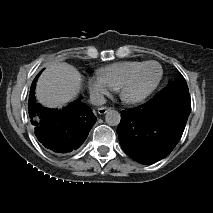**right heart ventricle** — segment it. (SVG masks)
Segmentation results:
<instances>
[{"label": "right heart ventricle", "mask_w": 213, "mask_h": 213, "mask_svg": "<svg viewBox=\"0 0 213 213\" xmlns=\"http://www.w3.org/2000/svg\"><path fill=\"white\" fill-rule=\"evenodd\" d=\"M141 63V61L115 62L100 68L98 75L108 83L112 90H118L121 82Z\"/></svg>", "instance_id": "obj_1"}]
</instances>
